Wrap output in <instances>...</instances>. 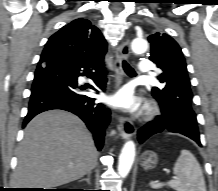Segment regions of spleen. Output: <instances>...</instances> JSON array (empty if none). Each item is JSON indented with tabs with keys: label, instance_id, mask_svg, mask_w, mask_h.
<instances>
[{
	"label": "spleen",
	"instance_id": "1",
	"mask_svg": "<svg viewBox=\"0 0 218 191\" xmlns=\"http://www.w3.org/2000/svg\"><path fill=\"white\" fill-rule=\"evenodd\" d=\"M175 179L167 183L151 181L154 189L167 185L176 191H206V185L201 166L195 156L188 150H181L180 156L173 167Z\"/></svg>",
	"mask_w": 218,
	"mask_h": 191
}]
</instances>
